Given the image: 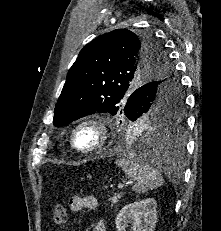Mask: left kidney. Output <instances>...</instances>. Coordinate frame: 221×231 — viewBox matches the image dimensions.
<instances>
[{"label": "left kidney", "instance_id": "5707ae66", "mask_svg": "<svg viewBox=\"0 0 221 231\" xmlns=\"http://www.w3.org/2000/svg\"><path fill=\"white\" fill-rule=\"evenodd\" d=\"M156 208L154 198L124 206L115 221L117 231H126L128 223L131 224V231H153L157 222Z\"/></svg>", "mask_w": 221, "mask_h": 231}]
</instances>
